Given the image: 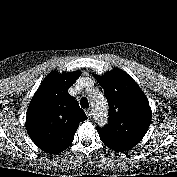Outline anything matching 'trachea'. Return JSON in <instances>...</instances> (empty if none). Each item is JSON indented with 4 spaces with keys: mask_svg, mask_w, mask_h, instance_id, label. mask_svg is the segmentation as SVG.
I'll return each instance as SVG.
<instances>
[{
    "mask_svg": "<svg viewBox=\"0 0 177 177\" xmlns=\"http://www.w3.org/2000/svg\"><path fill=\"white\" fill-rule=\"evenodd\" d=\"M80 105L82 108H89V102L86 97L81 98Z\"/></svg>",
    "mask_w": 177,
    "mask_h": 177,
    "instance_id": "1",
    "label": "trachea"
}]
</instances>
